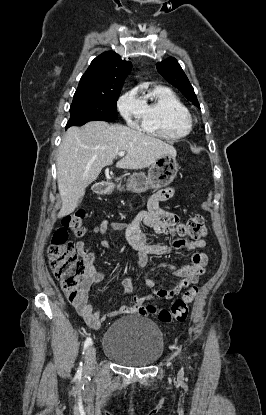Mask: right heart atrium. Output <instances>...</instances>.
Instances as JSON below:
<instances>
[{"label":"right heart atrium","instance_id":"right-heart-atrium-1","mask_svg":"<svg viewBox=\"0 0 266 415\" xmlns=\"http://www.w3.org/2000/svg\"><path fill=\"white\" fill-rule=\"evenodd\" d=\"M117 107L122 117L131 126H136L142 119L143 103L135 89L123 94L118 100Z\"/></svg>","mask_w":266,"mask_h":415}]
</instances>
